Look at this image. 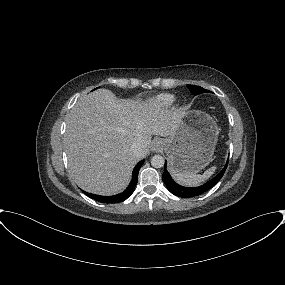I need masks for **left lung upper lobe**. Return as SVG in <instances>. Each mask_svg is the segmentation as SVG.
Returning <instances> with one entry per match:
<instances>
[{"instance_id": "obj_1", "label": "left lung upper lobe", "mask_w": 285, "mask_h": 285, "mask_svg": "<svg viewBox=\"0 0 285 285\" xmlns=\"http://www.w3.org/2000/svg\"><path fill=\"white\" fill-rule=\"evenodd\" d=\"M187 87L189 88L190 92L193 94V95H198V94H201V93H206V92H210L202 87H199V86H194V85H187Z\"/></svg>"}]
</instances>
